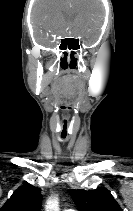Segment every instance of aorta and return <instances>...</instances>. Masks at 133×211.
<instances>
[{"label": "aorta", "instance_id": "obj_1", "mask_svg": "<svg viewBox=\"0 0 133 211\" xmlns=\"http://www.w3.org/2000/svg\"><path fill=\"white\" fill-rule=\"evenodd\" d=\"M45 211H59V200L57 197H51L47 200Z\"/></svg>", "mask_w": 133, "mask_h": 211}]
</instances>
